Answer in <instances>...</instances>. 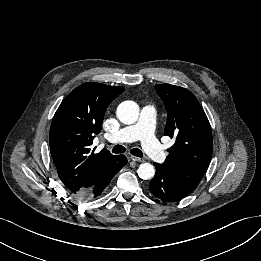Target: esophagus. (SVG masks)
Instances as JSON below:
<instances>
[{"instance_id": "34e87169", "label": "esophagus", "mask_w": 261, "mask_h": 261, "mask_svg": "<svg viewBox=\"0 0 261 261\" xmlns=\"http://www.w3.org/2000/svg\"><path fill=\"white\" fill-rule=\"evenodd\" d=\"M130 159L135 162H144L143 158L136 157V156H130Z\"/></svg>"}]
</instances>
